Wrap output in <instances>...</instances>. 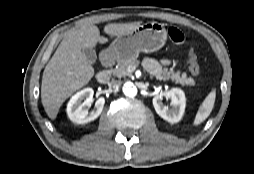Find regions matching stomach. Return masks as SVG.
I'll return each instance as SVG.
<instances>
[{"label":"stomach","instance_id":"stomach-1","mask_svg":"<svg viewBox=\"0 0 254 174\" xmlns=\"http://www.w3.org/2000/svg\"><path fill=\"white\" fill-rule=\"evenodd\" d=\"M166 40L167 32L161 23H146L132 32L117 36L104 53L118 61L134 59L140 52L151 53L159 50Z\"/></svg>","mask_w":254,"mask_h":174}]
</instances>
